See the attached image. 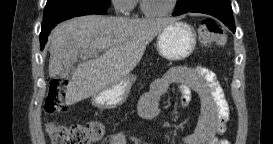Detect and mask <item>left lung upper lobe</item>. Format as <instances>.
Instances as JSON below:
<instances>
[{
  "instance_id": "1",
  "label": "left lung upper lobe",
  "mask_w": 273,
  "mask_h": 144,
  "mask_svg": "<svg viewBox=\"0 0 273 144\" xmlns=\"http://www.w3.org/2000/svg\"><path fill=\"white\" fill-rule=\"evenodd\" d=\"M188 1H190V0H178L177 5H176L175 8L176 9L183 8L188 3Z\"/></svg>"
}]
</instances>
